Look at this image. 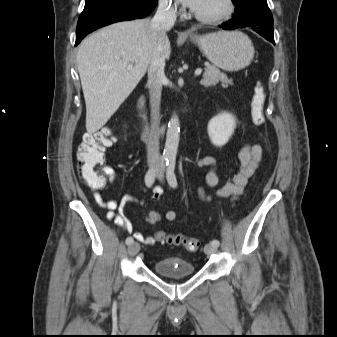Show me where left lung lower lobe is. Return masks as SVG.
Masks as SVG:
<instances>
[{
	"label": "left lung lower lobe",
	"mask_w": 337,
	"mask_h": 337,
	"mask_svg": "<svg viewBox=\"0 0 337 337\" xmlns=\"http://www.w3.org/2000/svg\"><path fill=\"white\" fill-rule=\"evenodd\" d=\"M221 27L224 30H233L245 27L251 28L265 39L275 44L273 18L266 17L261 11L248 12L236 17L234 16L232 20L222 24Z\"/></svg>",
	"instance_id": "0a47b994"
}]
</instances>
